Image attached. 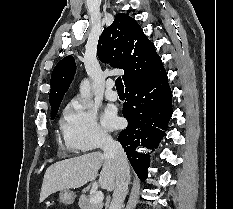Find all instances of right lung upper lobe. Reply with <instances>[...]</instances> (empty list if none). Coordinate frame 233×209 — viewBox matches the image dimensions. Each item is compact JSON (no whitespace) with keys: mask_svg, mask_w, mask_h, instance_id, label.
<instances>
[{"mask_svg":"<svg viewBox=\"0 0 233 209\" xmlns=\"http://www.w3.org/2000/svg\"><path fill=\"white\" fill-rule=\"evenodd\" d=\"M97 55L103 63L125 71V87L144 80L162 64L154 44L135 19L118 13L113 23L99 37ZM76 72L72 56L63 58L53 69L49 101L51 110L59 108Z\"/></svg>","mask_w":233,"mask_h":209,"instance_id":"cb5924a9","label":"right lung upper lobe"}]
</instances>
